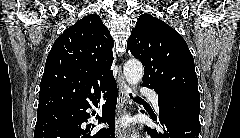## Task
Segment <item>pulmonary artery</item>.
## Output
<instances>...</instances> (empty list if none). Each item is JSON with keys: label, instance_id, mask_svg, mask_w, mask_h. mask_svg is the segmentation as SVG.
<instances>
[{"label": "pulmonary artery", "instance_id": "obj_1", "mask_svg": "<svg viewBox=\"0 0 240 138\" xmlns=\"http://www.w3.org/2000/svg\"><path fill=\"white\" fill-rule=\"evenodd\" d=\"M142 94L150 99L154 108L158 111L159 106H158V95H157V93L155 91L149 89V88H143Z\"/></svg>", "mask_w": 240, "mask_h": 138}]
</instances>
